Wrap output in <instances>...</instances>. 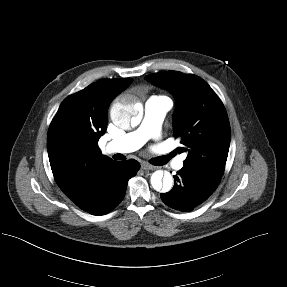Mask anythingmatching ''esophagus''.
Returning a JSON list of instances; mask_svg holds the SVG:
<instances>
[{
	"label": "esophagus",
	"mask_w": 287,
	"mask_h": 287,
	"mask_svg": "<svg viewBox=\"0 0 287 287\" xmlns=\"http://www.w3.org/2000/svg\"><path fill=\"white\" fill-rule=\"evenodd\" d=\"M141 167L144 170H155L156 169L155 166H153V165H151L149 163H143Z\"/></svg>",
	"instance_id": "34e87169"
}]
</instances>
